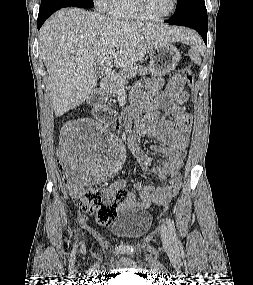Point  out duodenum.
<instances>
[{"mask_svg": "<svg viewBox=\"0 0 253 285\" xmlns=\"http://www.w3.org/2000/svg\"><path fill=\"white\" fill-rule=\"evenodd\" d=\"M107 86V80L102 81L100 87L95 90L89 97V104L91 105L94 115L99 118L112 117V114L106 113L102 107L103 88Z\"/></svg>", "mask_w": 253, "mask_h": 285, "instance_id": "obj_1", "label": "duodenum"}]
</instances>
